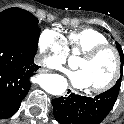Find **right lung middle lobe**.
<instances>
[{
    "label": "right lung middle lobe",
    "instance_id": "obj_1",
    "mask_svg": "<svg viewBox=\"0 0 124 124\" xmlns=\"http://www.w3.org/2000/svg\"><path fill=\"white\" fill-rule=\"evenodd\" d=\"M39 20L30 12L12 7L0 13V34L33 35L38 40Z\"/></svg>",
    "mask_w": 124,
    "mask_h": 124
}]
</instances>
